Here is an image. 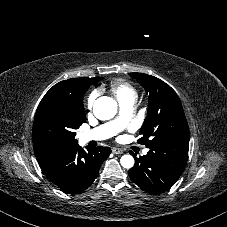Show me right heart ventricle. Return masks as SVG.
<instances>
[{"label":"right heart ventricle","mask_w":227,"mask_h":227,"mask_svg":"<svg viewBox=\"0 0 227 227\" xmlns=\"http://www.w3.org/2000/svg\"><path fill=\"white\" fill-rule=\"evenodd\" d=\"M109 91L116 97L119 104L128 101L135 100L137 93L135 88L126 80L115 79L108 85Z\"/></svg>","instance_id":"e07e8e85"}]
</instances>
